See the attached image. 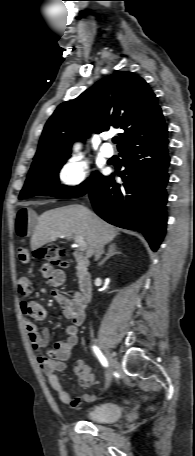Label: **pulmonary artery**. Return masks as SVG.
<instances>
[{
  "label": "pulmonary artery",
  "instance_id": "1",
  "mask_svg": "<svg viewBox=\"0 0 195 456\" xmlns=\"http://www.w3.org/2000/svg\"><path fill=\"white\" fill-rule=\"evenodd\" d=\"M106 140H107V138H106ZM101 153L103 154V156H105L107 158H110L113 156V153H114L113 148L107 141L102 144Z\"/></svg>",
  "mask_w": 195,
  "mask_h": 456
}]
</instances>
